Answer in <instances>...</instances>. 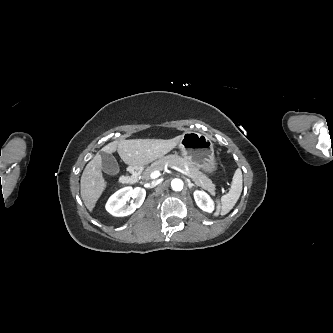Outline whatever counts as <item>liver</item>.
I'll return each mask as SVG.
<instances>
[{
	"instance_id": "obj_1",
	"label": "liver",
	"mask_w": 333,
	"mask_h": 333,
	"mask_svg": "<svg viewBox=\"0 0 333 333\" xmlns=\"http://www.w3.org/2000/svg\"><path fill=\"white\" fill-rule=\"evenodd\" d=\"M181 136L168 140L131 139L113 141L104 146L101 151L110 154L117 151L126 164L145 166L175 148L179 144ZM80 186L82 200L87 209L92 212L107 187V182L102 175V160L99 154H96L86 165L81 176Z\"/></svg>"
}]
</instances>
